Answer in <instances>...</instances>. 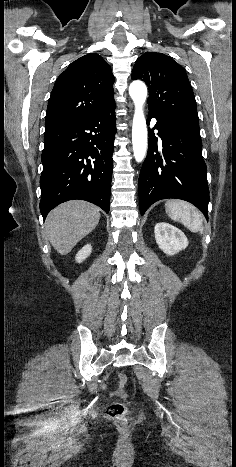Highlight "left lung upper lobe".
<instances>
[{"label":"left lung upper lobe","instance_id":"1","mask_svg":"<svg viewBox=\"0 0 236 467\" xmlns=\"http://www.w3.org/2000/svg\"><path fill=\"white\" fill-rule=\"evenodd\" d=\"M132 79H142L147 84L150 112L198 117L187 74L171 57L155 52L143 54L133 67Z\"/></svg>","mask_w":236,"mask_h":467}]
</instances>
